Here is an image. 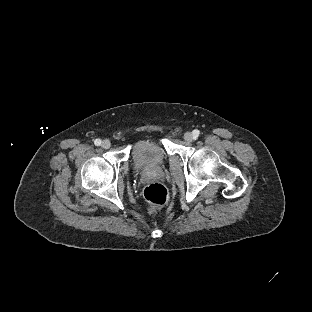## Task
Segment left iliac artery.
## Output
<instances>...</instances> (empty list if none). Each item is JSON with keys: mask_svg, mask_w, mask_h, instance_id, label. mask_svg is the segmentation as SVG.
Masks as SVG:
<instances>
[{"mask_svg": "<svg viewBox=\"0 0 312 312\" xmlns=\"http://www.w3.org/2000/svg\"><path fill=\"white\" fill-rule=\"evenodd\" d=\"M193 134H194L195 137H198L199 134H200V132H199V130H194V131H193Z\"/></svg>", "mask_w": 312, "mask_h": 312, "instance_id": "obj_1", "label": "left iliac artery"}]
</instances>
